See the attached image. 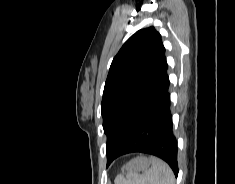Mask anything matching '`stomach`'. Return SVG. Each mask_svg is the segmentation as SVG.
<instances>
[{"instance_id":"0dacf381","label":"stomach","mask_w":235,"mask_h":184,"mask_svg":"<svg viewBox=\"0 0 235 184\" xmlns=\"http://www.w3.org/2000/svg\"><path fill=\"white\" fill-rule=\"evenodd\" d=\"M149 166V158H145V156H138V158H134V160L127 162V164L121 168V172L122 174H128V172H146Z\"/></svg>"}]
</instances>
